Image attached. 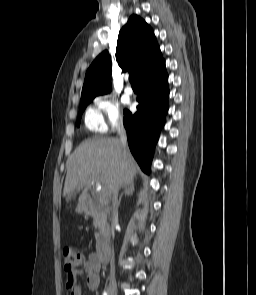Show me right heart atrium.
<instances>
[{
    "label": "right heart atrium",
    "mask_w": 256,
    "mask_h": 295,
    "mask_svg": "<svg viewBox=\"0 0 256 295\" xmlns=\"http://www.w3.org/2000/svg\"><path fill=\"white\" fill-rule=\"evenodd\" d=\"M95 111L100 119L103 130L115 129L122 124L123 115L118 101L110 94L95 98Z\"/></svg>",
    "instance_id": "d8ad5b80"
}]
</instances>
